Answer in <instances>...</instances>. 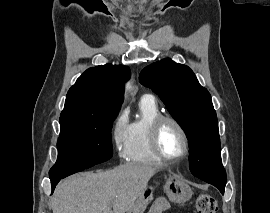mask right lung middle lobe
<instances>
[{
  "mask_svg": "<svg viewBox=\"0 0 270 213\" xmlns=\"http://www.w3.org/2000/svg\"><path fill=\"white\" fill-rule=\"evenodd\" d=\"M117 113L60 117L58 158L49 176L90 168L112 157L111 128Z\"/></svg>",
  "mask_w": 270,
  "mask_h": 213,
  "instance_id": "obj_1",
  "label": "right lung middle lobe"
}]
</instances>
